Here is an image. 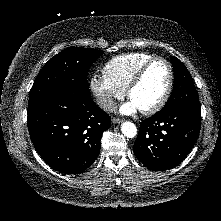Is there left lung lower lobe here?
<instances>
[{"instance_id": "left-lung-lower-lobe-1", "label": "left lung lower lobe", "mask_w": 221, "mask_h": 221, "mask_svg": "<svg viewBox=\"0 0 221 221\" xmlns=\"http://www.w3.org/2000/svg\"><path fill=\"white\" fill-rule=\"evenodd\" d=\"M200 126V108L173 106L162 109L140 123L134 154L153 171L175 167L195 145Z\"/></svg>"}]
</instances>
